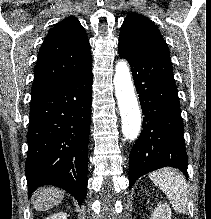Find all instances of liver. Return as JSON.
Segmentation results:
<instances>
[{"label": "liver", "mask_w": 211, "mask_h": 219, "mask_svg": "<svg viewBox=\"0 0 211 219\" xmlns=\"http://www.w3.org/2000/svg\"><path fill=\"white\" fill-rule=\"evenodd\" d=\"M34 197V208L37 211H44L58 205L64 198V191L56 187H42L37 190Z\"/></svg>", "instance_id": "obj_1"}]
</instances>
